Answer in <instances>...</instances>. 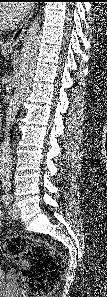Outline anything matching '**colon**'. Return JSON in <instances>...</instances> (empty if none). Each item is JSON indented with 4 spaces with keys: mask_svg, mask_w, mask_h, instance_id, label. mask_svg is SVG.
I'll list each match as a JSON object with an SVG mask.
<instances>
[{
    "mask_svg": "<svg viewBox=\"0 0 107 297\" xmlns=\"http://www.w3.org/2000/svg\"><path fill=\"white\" fill-rule=\"evenodd\" d=\"M3 249L22 268V297H44L55 289L64 271V260L51 244L37 238L12 236L5 240Z\"/></svg>",
    "mask_w": 107,
    "mask_h": 297,
    "instance_id": "1",
    "label": "colon"
}]
</instances>
